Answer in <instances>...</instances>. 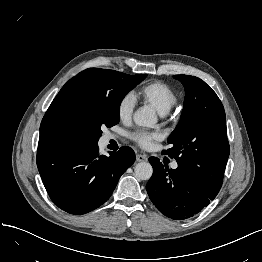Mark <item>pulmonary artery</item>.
<instances>
[{"mask_svg": "<svg viewBox=\"0 0 262 262\" xmlns=\"http://www.w3.org/2000/svg\"><path fill=\"white\" fill-rule=\"evenodd\" d=\"M171 167H172L173 169H176V168L178 167V165H177L176 162H173V163L171 164Z\"/></svg>", "mask_w": 262, "mask_h": 262, "instance_id": "pulmonary-artery-1", "label": "pulmonary artery"}]
</instances>
